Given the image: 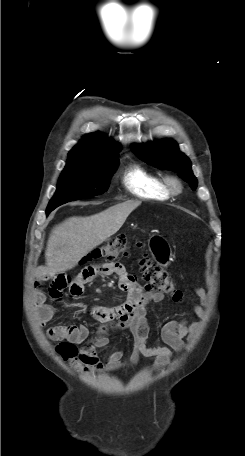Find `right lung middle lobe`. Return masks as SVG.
Returning a JSON list of instances; mask_svg holds the SVG:
<instances>
[{
	"label": "right lung middle lobe",
	"mask_w": 245,
	"mask_h": 456,
	"mask_svg": "<svg viewBox=\"0 0 245 456\" xmlns=\"http://www.w3.org/2000/svg\"><path fill=\"white\" fill-rule=\"evenodd\" d=\"M117 165L118 158L98 163H67L59 178L56 194L46 211H53L69 201L103 194Z\"/></svg>",
	"instance_id": "right-lung-middle-lobe-1"
}]
</instances>
